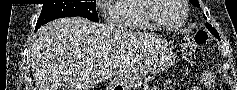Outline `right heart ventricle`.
Here are the masks:
<instances>
[{"label": "right heart ventricle", "instance_id": "1", "mask_svg": "<svg viewBox=\"0 0 237 90\" xmlns=\"http://www.w3.org/2000/svg\"><path fill=\"white\" fill-rule=\"evenodd\" d=\"M147 7H154L150 0H118L108 7V24L114 28L157 29V23L152 20L153 14H144Z\"/></svg>", "mask_w": 237, "mask_h": 90}]
</instances>
